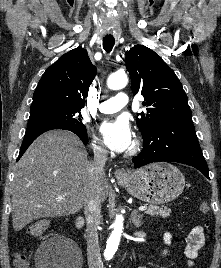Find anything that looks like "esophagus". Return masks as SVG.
<instances>
[{"label": "esophagus", "mask_w": 221, "mask_h": 268, "mask_svg": "<svg viewBox=\"0 0 221 268\" xmlns=\"http://www.w3.org/2000/svg\"><path fill=\"white\" fill-rule=\"evenodd\" d=\"M117 179H124L128 176L127 172L123 168H118L114 172Z\"/></svg>", "instance_id": "34e87169"}]
</instances>
